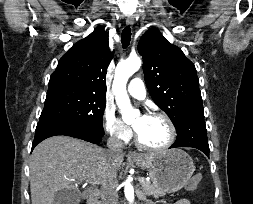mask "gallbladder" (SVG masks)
Segmentation results:
<instances>
[{"instance_id": "1", "label": "gallbladder", "mask_w": 253, "mask_h": 204, "mask_svg": "<svg viewBox=\"0 0 253 204\" xmlns=\"http://www.w3.org/2000/svg\"><path fill=\"white\" fill-rule=\"evenodd\" d=\"M81 198H87V191L81 195L75 190L63 189L56 192L54 204H79Z\"/></svg>"}]
</instances>
